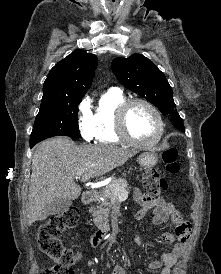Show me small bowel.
I'll return each mask as SVG.
<instances>
[{"instance_id": "1", "label": "small bowel", "mask_w": 221, "mask_h": 274, "mask_svg": "<svg viewBox=\"0 0 221 274\" xmlns=\"http://www.w3.org/2000/svg\"><path fill=\"white\" fill-rule=\"evenodd\" d=\"M133 197L138 204L133 211L136 219H143L148 211L152 210V222L154 225H161L170 220L175 227L173 232H165L161 236L163 242L175 243L171 251L164 253L160 260H154L149 264L151 270L161 269L160 274H170L172 268L184 253L189 238L190 225L183 219L172 203L166 202L162 198L144 195L140 190H135ZM87 264L91 266L93 261L89 260ZM111 274L128 273L126 268L117 265Z\"/></svg>"}]
</instances>
